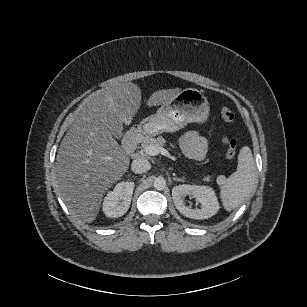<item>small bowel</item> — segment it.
Masks as SVG:
<instances>
[{"label": "small bowel", "mask_w": 307, "mask_h": 307, "mask_svg": "<svg viewBox=\"0 0 307 307\" xmlns=\"http://www.w3.org/2000/svg\"><path fill=\"white\" fill-rule=\"evenodd\" d=\"M224 144H229V138H223ZM180 146L186 157L192 160L201 161L206 156L207 142L197 131L191 130L186 132L180 138Z\"/></svg>", "instance_id": "1"}]
</instances>
